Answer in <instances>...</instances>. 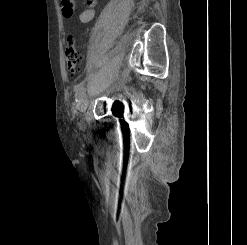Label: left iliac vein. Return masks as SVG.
<instances>
[{
    "mask_svg": "<svg viewBox=\"0 0 247 245\" xmlns=\"http://www.w3.org/2000/svg\"><path fill=\"white\" fill-rule=\"evenodd\" d=\"M87 106H88V100L87 98H83L78 106L81 115L85 113ZM82 125H83V120L81 119V121L79 122V126L82 127Z\"/></svg>",
    "mask_w": 247,
    "mask_h": 245,
    "instance_id": "obj_1",
    "label": "left iliac vein"
}]
</instances>
